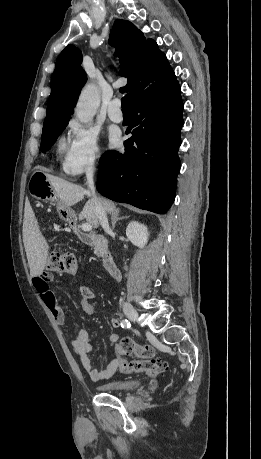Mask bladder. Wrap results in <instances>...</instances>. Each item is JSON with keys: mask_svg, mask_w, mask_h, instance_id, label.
<instances>
[{"mask_svg": "<svg viewBox=\"0 0 261 459\" xmlns=\"http://www.w3.org/2000/svg\"><path fill=\"white\" fill-rule=\"evenodd\" d=\"M139 381L135 379H118L100 385L98 388L104 392H127L136 389Z\"/></svg>", "mask_w": 261, "mask_h": 459, "instance_id": "1", "label": "bladder"}]
</instances>
